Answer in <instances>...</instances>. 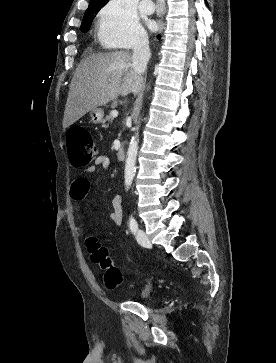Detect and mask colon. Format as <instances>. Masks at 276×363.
<instances>
[{
    "label": "colon",
    "instance_id": "5ec220e1",
    "mask_svg": "<svg viewBox=\"0 0 276 363\" xmlns=\"http://www.w3.org/2000/svg\"><path fill=\"white\" fill-rule=\"evenodd\" d=\"M67 149L71 162L76 167H84L96 161L99 153L97 141L88 130L83 127H71L67 131ZM85 245L90 253L92 262L98 264L104 270V284L108 289H115L122 281L121 271L112 263L108 252L96 236L88 235Z\"/></svg>",
    "mask_w": 276,
    "mask_h": 363
}]
</instances>
